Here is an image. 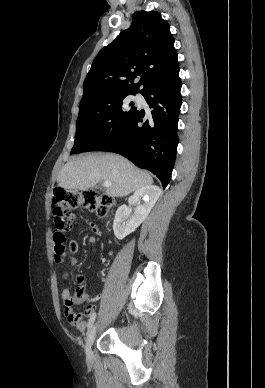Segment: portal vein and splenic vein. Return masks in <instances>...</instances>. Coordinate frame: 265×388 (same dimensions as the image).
I'll list each match as a JSON object with an SVG mask.
<instances>
[{"label": "portal vein and splenic vein", "mask_w": 265, "mask_h": 388, "mask_svg": "<svg viewBox=\"0 0 265 388\" xmlns=\"http://www.w3.org/2000/svg\"><path fill=\"white\" fill-rule=\"evenodd\" d=\"M103 186H105V188H109V186H112L111 182H103Z\"/></svg>", "instance_id": "obj_1"}]
</instances>
